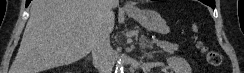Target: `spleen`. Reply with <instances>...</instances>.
Segmentation results:
<instances>
[{
  "mask_svg": "<svg viewBox=\"0 0 244 73\" xmlns=\"http://www.w3.org/2000/svg\"><path fill=\"white\" fill-rule=\"evenodd\" d=\"M192 29H193L194 32H197V31H198V30H197V26H196V24H193V25H192Z\"/></svg>",
  "mask_w": 244,
  "mask_h": 73,
  "instance_id": "obj_1",
  "label": "spleen"
}]
</instances>
